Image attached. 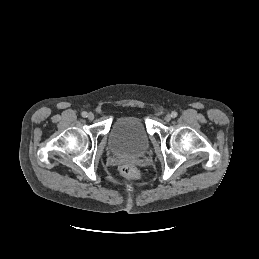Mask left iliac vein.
Wrapping results in <instances>:
<instances>
[{
    "label": "left iliac vein",
    "instance_id": "1",
    "mask_svg": "<svg viewBox=\"0 0 259 259\" xmlns=\"http://www.w3.org/2000/svg\"><path fill=\"white\" fill-rule=\"evenodd\" d=\"M165 121L169 122L171 119H172V116L170 114H167L165 117H164Z\"/></svg>",
    "mask_w": 259,
    "mask_h": 259
}]
</instances>
